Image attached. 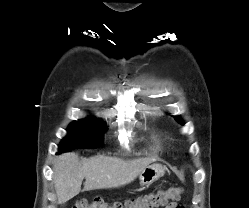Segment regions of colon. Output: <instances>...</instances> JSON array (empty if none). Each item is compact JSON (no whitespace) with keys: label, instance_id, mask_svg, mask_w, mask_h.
I'll use <instances>...</instances> for the list:
<instances>
[{"label":"colon","instance_id":"colon-1","mask_svg":"<svg viewBox=\"0 0 249 208\" xmlns=\"http://www.w3.org/2000/svg\"><path fill=\"white\" fill-rule=\"evenodd\" d=\"M183 193L181 187H170L168 189L158 190L157 192L146 194L135 199H129L124 202L108 203L103 199L92 201L80 200L73 208H157L166 206L171 202L180 199ZM182 208V207H180Z\"/></svg>","mask_w":249,"mask_h":208}]
</instances>
